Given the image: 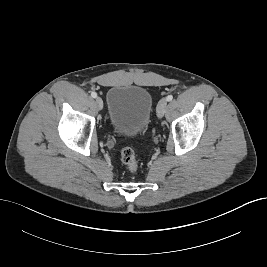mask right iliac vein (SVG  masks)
<instances>
[{"label": "right iliac vein", "mask_w": 267, "mask_h": 267, "mask_svg": "<svg viewBox=\"0 0 267 267\" xmlns=\"http://www.w3.org/2000/svg\"><path fill=\"white\" fill-rule=\"evenodd\" d=\"M96 105L98 107V109H102L103 108V101L100 97H96Z\"/></svg>", "instance_id": "obj_1"}]
</instances>
